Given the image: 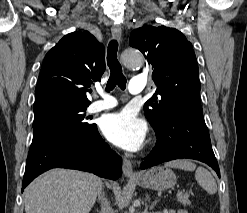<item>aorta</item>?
<instances>
[{
	"instance_id": "aorta-1",
	"label": "aorta",
	"mask_w": 247,
	"mask_h": 213,
	"mask_svg": "<svg viewBox=\"0 0 247 213\" xmlns=\"http://www.w3.org/2000/svg\"><path fill=\"white\" fill-rule=\"evenodd\" d=\"M122 60L126 67L140 68L144 64L143 55L135 49H127L122 53Z\"/></svg>"
}]
</instances>
